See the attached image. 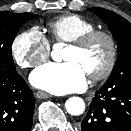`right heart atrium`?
<instances>
[{"instance_id":"obj_1","label":"right heart atrium","mask_w":131,"mask_h":131,"mask_svg":"<svg viewBox=\"0 0 131 131\" xmlns=\"http://www.w3.org/2000/svg\"><path fill=\"white\" fill-rule=\"evenodd\" d=\"M11 52L16 64L23 69H28L49 58L51 45L40 29L33 27L13 39Z\"/></svg>"}]
</instances>
